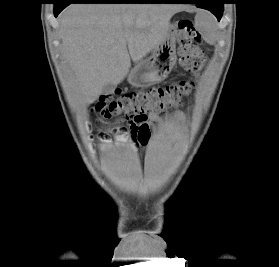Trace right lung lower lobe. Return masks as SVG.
I'll list each match as a JSON object with an SVG mask.
<instances>
[{
    "label": "right lung lower lobe",
    "mask_w": 279,
    "mask_h": 267,
    "mask_svg": "<svg viewBox=\"0 0 279 267\" xmlns=\"http://www.w3.org/2000/svg\"><path fill=\"white\" fill-rule=\"evenodd\" d=\"M166 0H57L54 15H57L71 3H164Z\"/></svg>",
    "instance_id": "98d812e1"
}]
</instances>
